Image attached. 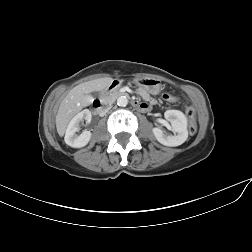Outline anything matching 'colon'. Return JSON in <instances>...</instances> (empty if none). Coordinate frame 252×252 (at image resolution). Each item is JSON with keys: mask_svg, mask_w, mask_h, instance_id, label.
I'll use <instances>...</instances> for the list:
<instances>
[{"mask_svg": "<svg viewBox=\"0 0 252 252\" xmlns=\"http://www.w3.org/2000/svg\"><path fill=\"white\" fill-rule=\"evenodd\" d=\"M163 98L169 102H175L177 100V98L175 96L170 95V94H164ZM196 114H197L196 108L192 105L188 106L187 115H188L189 121H190L189 131L191 134H194L197 130Z\"/></svg>", "mask_w": 252, "mask_h": 252, "instance_id": "1", "label": "colon"}]
</instances>
